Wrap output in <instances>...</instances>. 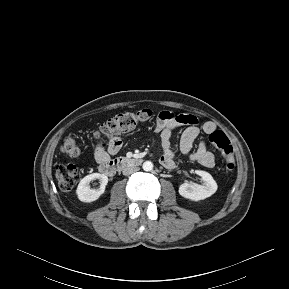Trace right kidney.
I'll return each mask as SVG.
<instances>
[{
  "label": "right kidney",
  "mask_w": 289,
  "mask_h": 289,
  "mask_svg": "<svg viewBox=\"0 0 289 289\" xmlns=\"http://www.w3.org/2000/svg\"><path fill=\"white\" fill-rule=\"evenodd\" d=\"M93 180H98L100 187L98 189H92L90 187V182ZM108 183V177L105 174L92 173L81 179L78 187L76 189V194L78 199L82 202H93L97 200L104 192L105 187Z\"/></svg>",
  "instance_id": "1"
}]
</instances>
